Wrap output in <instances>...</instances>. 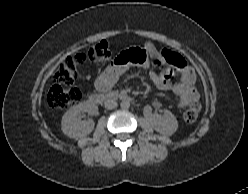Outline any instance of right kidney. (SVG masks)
Returning a JSON list of instances; mask_svg holds the SVG:
<instances>
[{"mask_svg": "<svg viewBox=\"0 0 248 194\" xmlns=\"http://www.w3.org/2000/svg\"><path fill=\"white\" fill-rule=\"evenodd\" d=\"M88 112L90 115L98 114V107L89 102H81L76 106L70 108L62 117L61 126L63 133L74 139L87 136L94 129V121L88 119L87 121L80 120V114Z\"/></svg>", "mask_w": 248, "mask_h": 194, "instance_id": "obj_1", "label": "right kidney"}]
</instances>
